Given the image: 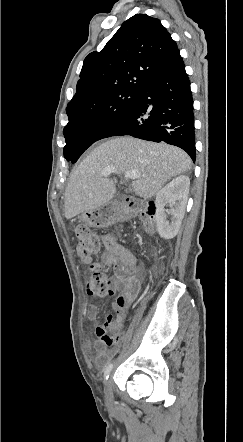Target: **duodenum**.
<instances>
[{
  "label": "duodenum",
  "instance_id": "1",
  "mask_svg": "<svg viewBox=\"0 0 243 442\" xmlns=\"http://www.w3.org/2000/svg\"><path fill=\"white\" fill-rule=\"evenodd\" d=\"M137 207L138 203L135 200L127 198L121 201L118 211L126 214L127 216H132L137 212ZM145 230L147 232H151V226L149 224H145Z\"/></svg>",
  "mask_w": 243,
  "mask_h": 442
}]
</instances>
